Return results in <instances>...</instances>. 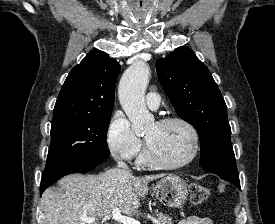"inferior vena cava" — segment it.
<instances>
[{
	"mask_svg": "<svg viewBox=\"0 0 275 224\" xmlns=\"http://www.w3.org/2000/svg\"><path fill=\"white\" fill-rule=\"evenodd\" d=\"M118 167L122 168L127 175L131 174L128 166L123 161H118Z\"/></svg>",
	"mask_w": 275,
	"mask_h": 224,
	"instance_id": "602c4592",
	"label": "inferior vena cava"
}]
</instances>
